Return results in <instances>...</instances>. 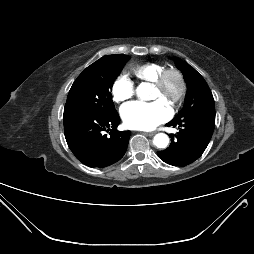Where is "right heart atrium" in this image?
<instances>
[{"label":"right heart atrium","instance_id":"obj_1","mask_svg":"<svg viewBox=\"0 0 254 254\" xmlns=\"http://www.w3.org/2000/svg\"><path fill=\"white\" fill-rule=\"evenodd\" d=\"M134 93V84L126 75H119L111 86L112 98L116 103H121L131 98Z\"/></svg>","mask_w":254,"mask_h":254}]
</instances>
